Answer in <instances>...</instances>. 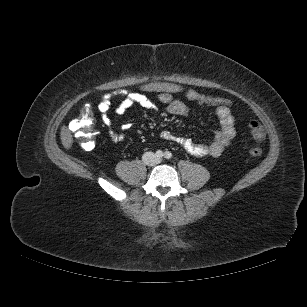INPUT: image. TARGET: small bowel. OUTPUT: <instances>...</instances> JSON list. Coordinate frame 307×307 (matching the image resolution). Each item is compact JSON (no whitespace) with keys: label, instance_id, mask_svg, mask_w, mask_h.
I'll list each match as a JSON object with an SVG mask.
<instances>
[{"label":"small bowel","instance_id":"c3829d8e","mask_svg":"<svg viewBox=\"0 0 307 307\" xmlns=\"http://www.w3.org/2000/svg\"><path fill=\"white\" fill-rule=\"evenodd\" d=\"M185 95L189 101L193 102L200 94L194 90H187ZM157 97L160 102L166 105V112L171 115L186 116L190 113V108L184 102L176 100L170 92H159ZM114 99L115 95L105 94L98 104V111L101 121L108 128V134L111 139L115 142H120L124 139V136L122 133L113 130L112 121L109 115ZM134 105H139L151 111L157 110L155 103L144 93L133 91L122 94L121 101L115 106V112L117 115L121 116ZM213 113L218 119L219 129L209 143H196L190 138L175 135L168 130L161 132V138L177 143L191 155L198 157L207 155L218 157L236 135L235 121L229 107H213ZM127 128V125L122 126V130H126Z\"/></svg>","mask_w":307,"mask_h":307}]
</instances>
